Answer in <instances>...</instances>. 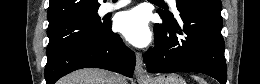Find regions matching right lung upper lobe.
Segmentation results:
<instances>
[{
    "mask_svg": "<svg viewBox=\"0 0 260 84\" xmlns=\"http://www.w3.org/2000/svg\"><path fill=\"white\" fill-rule=\"evenodd\" d=\"M99 6L97 0H50L47 12L48 28L82 15L97 12Z\"/></svg>",
    "mask_w": 260,
    "mask_h": 84,
    "instance_id": "obj_1",
    "label": "right lung upper lobe"
}]
</instances>
